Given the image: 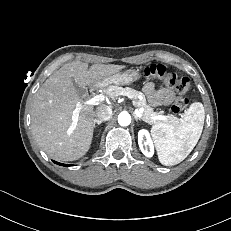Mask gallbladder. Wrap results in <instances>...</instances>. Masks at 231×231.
<instances>
[{"mask_svg": "<svg viewBox=\"0 0 231 231\" xmlns=\"http://www.w3.org/2000/svg\"><path fill=\"white\" fill-rule=\"evenodd\" d=\"M73 80V79H72ZM73 85H74V88L76 89V91L79 93V94H83L85 93V89L81 86H79L74 80H73Z\"/></svg>", "mask_w": 231, "mask_h": 231, "instance_id": "gallbladder-1", "label": "gallbladder"}]
</instances>
